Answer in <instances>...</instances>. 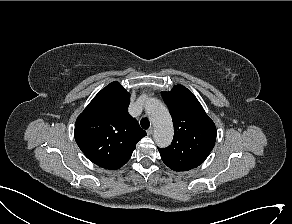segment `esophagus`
I'll return each mask as SVG.
<instances>
[{
	"mask_svg": "<svg viewBox=\"0 0 292 224\" xmlns=\"http://www.w3.org/2000/svg\"><path fill=\"white\" fill-rule=\"evenodd\" d=\"M154 132V128L153 127H150L148 130H147V134L148 135H152Z\"/></svg>",
	"mask_w": 292,
	"mask_h": 224,
	"instance_id": "1",
	"label": "esophagus"
}]
</instances>
